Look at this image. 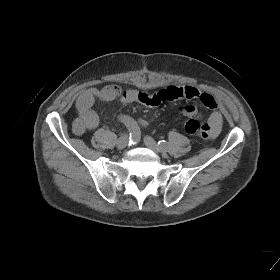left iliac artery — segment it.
<instances>
[{
    "instance_id": "44dca946",
    "label": "left iliac artery",
    "mask_w": 280,
    "mask_h": 280,
    "mask_svg": "<svg viewBox=\"0 0 280 280\" xmlns=\"http://www.w3.org/2000/svg\"><path fill=\"white\" fill-rule=\"evenodd\" d=\"M158 145H159L160 148L165 149V148H167L168 143L165 140H160L158 142Z\"/></svg>"
}]
</instances>
